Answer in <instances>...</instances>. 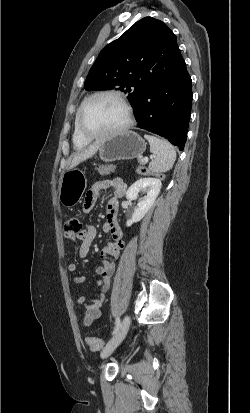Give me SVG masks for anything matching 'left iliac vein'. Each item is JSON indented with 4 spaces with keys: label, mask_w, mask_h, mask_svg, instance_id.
I'll list each match as a JSON object with an SVG mask.
<instances>
[{
    "label": "left iliac vein",
    "mask_w": 250,
    "mask_h": 413,
    "mask_svg": "<svg viewBox=\"0 0 250 413\" xmlns=\"http://www.w3.org/2000/svg\"><path fill=\"white\" fill-rule=\"evenodd\" d=\"M129 326H130V317L128 315H126L123 318V321L120 325V328L117 330L115 335L110 339V341L107 343V345L105 346V348L101 352V357L102 358H106L109 355H111V353L118 347V345L125 338V336L128 332Z\"/></svg>",
    "instance_id": "1"
}]
</instances>
